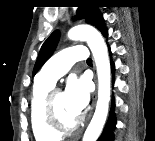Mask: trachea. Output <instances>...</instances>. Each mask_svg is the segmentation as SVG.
Listing matches in <instances>:
<instances>
[{
  "mask_svg": "<svg viewBox=\"0 0 155 141\" xmlns=\"http://www.w3.org/2000/svg\"><path fill=\"white\" fill-rule=\"evenodd\" d=\"M90 62H92V59L91 58H88L87 59V63H90Z\"/></svg>",
  "mask_w": 155,
  "mask_h": 141,
  "instance_id": "obj_1",
  "label": "trachea"
}]
</instances>
